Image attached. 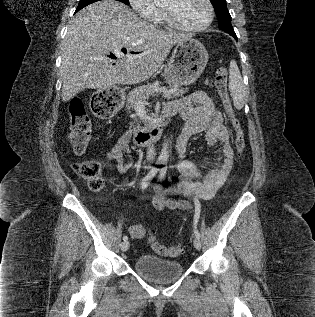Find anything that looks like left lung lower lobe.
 I'll return each instance as SVG.
<instances>
[{"label":"left lung lower lobe","mask_w":315,"mask_h":317,"mask_svg":"<svg viewBox=\"0 0 315 317\" xmlns=\"http://www.w3.org/2000/svg\"><path fill=\"white\" fill-rule=\"evenodd\" d=\"M232 37H234L237 40V36L236 34L231 35Z\"/></svg>","instance_id":"0a47b994"}]
</instances>
